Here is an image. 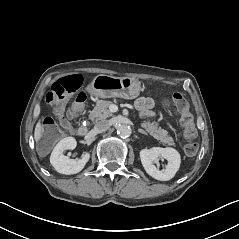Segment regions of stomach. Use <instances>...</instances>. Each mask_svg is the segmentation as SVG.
I'll list each match as a JSON object with an SVG mask.
<instances>
[{
  "instance_id": "obj_1",
  "label": "stomach",
  "mask_w": 239,
  "mask_h": 239,
  "mask_svg": "<svg viewBox=\"0 0 239 239\" xmlns=\"http://www.w3.org/2000/svg\"><path fill=\"white\" fill-rule=\"evenodd\" d=\"M85 91L98 98H124L134 99L140 95L141 84L131 77H115L110 75H97L86 87ZM160 106L166 111L167 118L172 119V99L164 95L159 100Z\"/></svg>"
}]
</instances>
